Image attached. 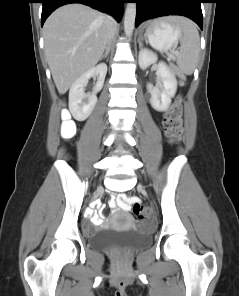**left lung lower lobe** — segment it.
<instances>
[{"label": "left lung lower lobe", "instance_id": "left-lung-lower-lobe-1", "mask_svg": "<svg viewBox=\"0 0 239 296\" xmlns=\"http://www.w3.org/2000/svg\"><path fill=\"white\" fill-rule=\"evenodd\" d=\"M137 3L135 26L143 21L167 15L186 16L203 29V15L200 3L203 0H133Z\"/></svg>", "mask_w": 239, "mask_h": 296}]
</instances>
